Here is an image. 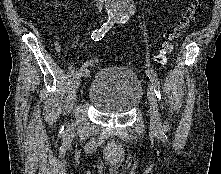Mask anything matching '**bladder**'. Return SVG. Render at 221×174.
I'll list each match as a JSON object with an SVG mask.
<instances>
[{
    "label": "bladder",
    "mask_w": 221,
    "mask_h": 174,
    "mask_svg": "<svg viewBox=\"0 0 221 174\" xmlns=\"http://www.w3.org/2000/svg\"><path fill=\"white\" fill-rule=\"evenodd\" d=\"M143 96L137 75L124 66L101 68L92 78L87 99L98 111L125 114L135 109Z\"/></svg>",
    "instance_id": "obj_1"
}]
</instances>
